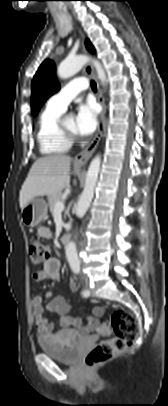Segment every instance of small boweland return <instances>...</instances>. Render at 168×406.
<instances>
[{"mask_svg":"<svg viewBox=\"0 0 168 406\" xmlns=\"http://www.w3.org/2000/svg\"><path fill=\"white\" fill-rule=\"evenodd\" d=\"M37 234L40 237L49 238L51 231L48 227L42 226L37 230ZM59 270L60 261L53 257L46 261L42 270L34 273L33 278L36 282L56 281L59 278ZM69 287L72 291L77 289L74 280L69 282ZM46 297L51 300L45 306L41 295H35L32 298L33 318L41 338L53 344L72 346L78 339L87 338L95 331L100 332L99 317L104 313L101 306L93 308L92 315L87 318L84 325L81 318L69 314L70 306L64 298H52L51 292H47ZM49 312H55L60 316L58 329L54 323L47 321L46 313Z\"/></svg>","mask_w":168,"mask_h":406,"instance_id":"obj_1","label":"small bowel"}]
</instances>
